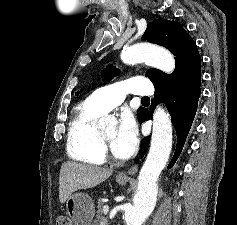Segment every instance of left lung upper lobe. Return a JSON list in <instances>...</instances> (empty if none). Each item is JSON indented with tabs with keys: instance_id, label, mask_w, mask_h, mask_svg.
<instances>
[{
	"instance_id": "1",
	"label": "left lung upper lobe",
	"mask_w": 237,
	"mask_h": 225,
	"mask_svg": "<svg viewBox=\"0 0 237 225\" xmlns=\"http://www.w3.org/2000/svg\"><path fill=\"white\" fill-rule=\"evenodd\" d=\"M142 39L168 48L175 56L176 65L173 74L167 75L154 68L146 72V76L153 82L155 88L180 84L201 75V57L196 43L178 22L155 19L148 23ZM117 73L115 67H109L103 71L102 76L105 81H109ZM141 108L138 109V117Z\"/></svg>"
}]
</instances>
